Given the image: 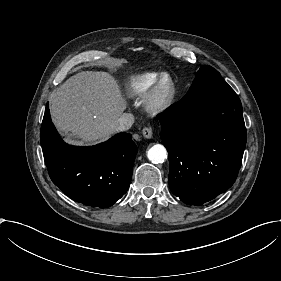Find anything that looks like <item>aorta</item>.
Returning <instances> with one entry per match:
<instances>
[{"mask_svg":"<svg viewBox=\"0 0 281 281\" xmlns=\"http://www.w3.org/2000/svg\"><path fill=\"white\" fill-rule=\"evenodd\" d=\"M147 157L152 163H163L167 158V150L163 145L156 144L147 151Z\"/></svg>","mask_w":281,"mask_h":281,"instance_id":"762f6f07","label":"aorta"}]
</instances>
